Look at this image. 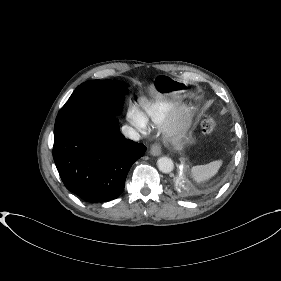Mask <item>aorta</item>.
Returning <instances> with one entry per match:
<instances>
[{
	"label": "aorta",
	"mask_w": 281,
	"mask_h": 281,
	"mask_svg": "<svg viewBox=\"0 0 281 281\" xmlns=\"http://www.w3.org/2000/svg\"><path fill=\"white\" fill-rule=\"evenodd\" d=\"M158 169L163 173H170L174 169V163L171 158L160 157L157 161Z\"/></svg>",
	"instance_id": "762f6f07"
}]
</instances>
